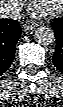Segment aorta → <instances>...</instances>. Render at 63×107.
Here are the masks:
<instances>
[{"label": "aorta", "mask_w": 63, "mask_h": 107, "mask_svg": "<svg viewBox=\"0 0 63 107\" xmlns=\"http://www.w3.org/2000/svg\"><path fill=\"white\" fill-rule=\"evenodd\" d=\"M35 41L40 45H49L54 41V31L49 27H39L34 34Z\"/></svg>", "instance_id": "aorta-1"}]
</instances>
